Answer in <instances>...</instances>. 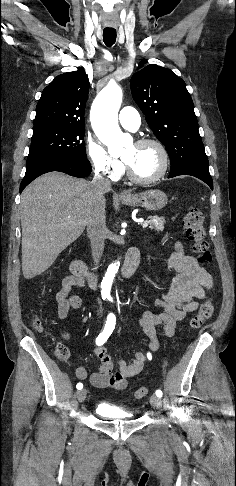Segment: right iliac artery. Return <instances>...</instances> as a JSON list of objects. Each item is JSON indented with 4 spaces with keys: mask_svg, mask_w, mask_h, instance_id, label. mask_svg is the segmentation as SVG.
Wrapping results in <instances>:
<instances>
[{
    "mask_svg": "<svg viewBox=\"0 0 236 486\" xmlns=\"http://www.w3.org/2000/svg\"><path fill=\"white\" fill-rule=\"evenodd\" d=\"M115 324H116V317L113 313H110L107 316V321H106V324H105L103 331L96 338V344L98 346L103 345L107 341V339L112 334V332L115 328ZM76 387H77L78 390H80V389L83 388V384L78 383Z\"/></svg>",
    "mask_w": 236,
    "mask_h": 486,
    "instance_id": "82829eb1",
    "label": "right iliac artery"
}]
</instances>
